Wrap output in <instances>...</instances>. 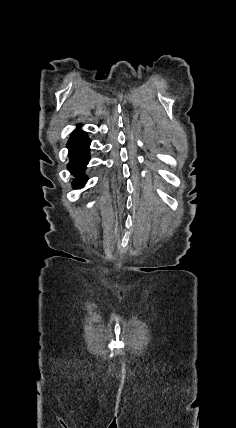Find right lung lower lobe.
<instances>
[{"label": "right lung lower lobe", "instance_id": "98d812e1", "mask_svg": "<svg viewBox=\"0 0 236 428\" xmlns=\"http://www.w3.org/2000/svg\"><path fill=\"white\" fill-rule=\"evenodd\" d=\"M89 144L87 134L79 129L72 133L67 144L70 157L68 168L76 176L73 181L74 188L82 187L87 181V177L82 171L89 161Z\"/></svg>", "mask_w": 236, "mask_h": 428}]
</instances>
